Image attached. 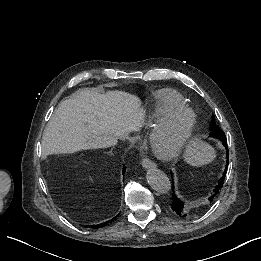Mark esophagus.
Segmentation results:
<instances>
[{"label":"esophagus","instance_id":"obj_1","mask_svg":"<svg viewBox=\"0 0 261 261\" xmlns=\"http://www.w3.org/2000/svg\"><path fill=\"white\" fill-rule=\"evenodd\" d=\"M142 166L144 169H151L157 167V165L149 159H143Z\"/></svg>","mask_w":261,"mask_h":261}]
</instances>
